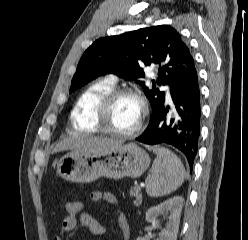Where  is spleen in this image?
<instances>
[{
  "mask_svg": "<svg viewBox=\"0 0 248 240\" xmlns=\"http://www.w3.org/2000/svg\"><path fill=\"white\" fill-rule=\"evenodd\" d=\"M156 159L147 176L146 192L151 197H161L177 190L184 181L185 169L180 159L165 147H154Z\"/></svg>",
  "mask_w": 248,
  "mask_h": 240,
  "instance_id": "spleen-1",
  "label": "spleen"
}]
</instances>
